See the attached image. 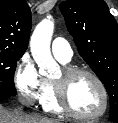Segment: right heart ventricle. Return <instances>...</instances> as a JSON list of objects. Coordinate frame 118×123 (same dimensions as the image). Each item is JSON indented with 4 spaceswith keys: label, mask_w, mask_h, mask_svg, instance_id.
<instances>
[{
    "label": "right heart ventricle",
    "mask_w": 118,
    "mask_h": 123,
    "mask_svg": "<svg viewBox=\"0 0 118 123\" xmlns=\"http://www.w3.org/2000/svg\"><path fill=\"white\" fill-rule=\"evenodd\" d=\"M40 104L43 110L46 112L55 113V114H59L62 112L61 108L59 107L55 99L54 90L51 81L46 80V90L44 96L40 100Z\"/></svg>",
    "instance_id": "obj_1"
}]
</instances>
